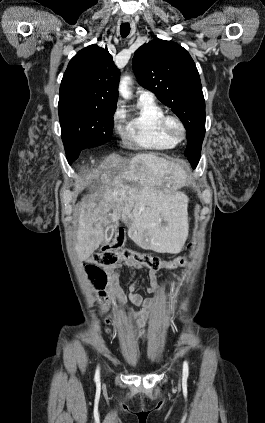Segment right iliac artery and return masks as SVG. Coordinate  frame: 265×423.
I'll return each mask as SVG.
<instances>
[{"label":"right iliac artery","instance_id":"82829eb1","mask_svg":"<svg viewBox=\"0 0 265 423\" xmlns=\"http://www.w3.org/2000/svg\"><path fill=\"white\" fill-rule=\"evenodd\" d=\"M95 382L99 383L100 382V372H99V368H97L96 373H95Z\"/></svg>","mask_w":265,"mask_h":423}]
</instances>
